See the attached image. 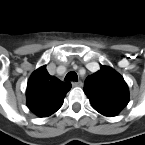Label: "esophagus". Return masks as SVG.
Returning a JSON list of instances; mask_svg holds the SVG:
<instances>
[{
  "mask_svg": "<svg viewBox=\"0 0 145 145\" xmlns=\"http://www.w3.org/2000/svg\"><path fill=\"white\" fill-rule=\"evenodd\" d=\"M72 85L73 86H76V87H82L83 86V83L81 82V81H74V82H72Z\"/></svg>",
  "mask_w": 145,
  "mask_h": 145,
  "instance_id": "34e87169",
  "label": "esophagus"
}]
</instances>
